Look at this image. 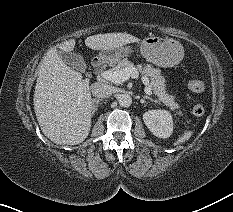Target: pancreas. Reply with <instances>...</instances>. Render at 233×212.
Returning a JSON list of instances; mask_svg holds the SVG:
<instances>
[{
    "instance_id": "obj_1",
    "label": "pancreas",
    "mask_w": 233,
    "mask_h": 212,
    "mask_svg": "<svg viewBox=\"0 0 233 212\" xmlns=\"http://www.w3.org/2000/svg\"><path fill=\"white\" fill-rule=\"evenodd\" d=\"M131 67L136 68L141 74L150 78V88L158 97L159 101L168 106L171 110H178L180 108L178 103L174 101V97L166 92L165 79L161 75V71L158 68H154L151 64L135 66L133 62L125 58L119 61L118 64L113 67V70H122ZM178 114H181V112L179 111Z\"/></svg>"
}]
</instances>
